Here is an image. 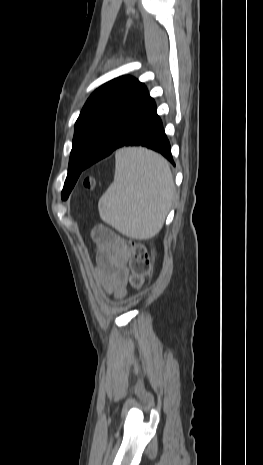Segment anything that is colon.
Listing matches in <instances>:
<instances>
[{"instance_id": "1", "label": "colon", "mask_w": 263, "mask_h": 465, "mask_svg": "<svg viewBox=\"0 0 263 465\" xmlns=\"http://www.w3.org/2000/svg\"><path fill=\"white\" fill-rule=\"evenodd\" d=\"M83 184L86 189H92L95 186V180L93 177H87ZM127 250L130 255L129 282L132 288L139 290L144 286L150 276L151 260L149 252L145 245L136 242L130 243Z\"/></svg>"}]
</instances>
